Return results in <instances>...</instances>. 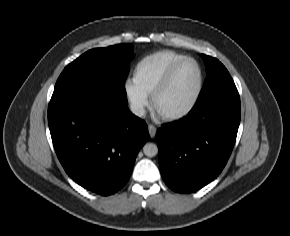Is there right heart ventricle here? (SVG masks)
<instances>
[{
	"label": "right heart ventricle",
	"instance_id": "obj_1",
	"mask_svg": "<svg viewBox=\"0 0 290 236\" xmlns=\"http://www.w3.org/2000/svg\"><path fill=\"white\" fill-rule=\"evenodd\" d=\"M183 56L173 51L155 53L137 67L133 81L149 95L161 82L168 70Z\"/></svg>",
	"mask_w": 290,
	"mask_h": 236
}]
</instances>
